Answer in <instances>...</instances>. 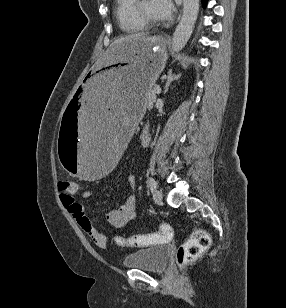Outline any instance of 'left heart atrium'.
Here are the masks:
<instances>
[{
    "mask_svg": "<svg viewBox=\"0 0 286 308\" xmlns=\"http://www.w3.org/2000/svg\"><path fill=\"white\" fill-rule=\"evenodd\" d=\"M154 9L160 19H167L171 16L173 5L171 0H152Z\"/></svg>",
    "mask_w": 286,
    "mask_h": 308,
    "instance_id": "39dd6f15",
    "label": "left heart atrium"
}]
</instances>
